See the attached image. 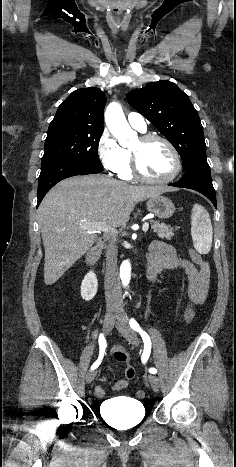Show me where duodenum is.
<instances>
[{
	"instance_id": "410a0bca",
	"label": "duodenum",
	"mask_w": 236,
	"mask_h": 467,
	"mask_svg": "<svg viewBox=\"0 0 236 467\" xmlns=\"http://www.w3.org/2000/svg\"><path fill=\"white\" fill-rule=\"evenodd\" d=\"M103 246H104L103 242L96 243L92 247V249L89 251L87 255V264L89 267L94 268L97 266ZM148 276H149V270H148Z\"/></svg>"
}]
</instances>
